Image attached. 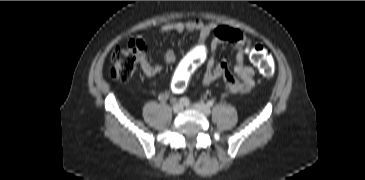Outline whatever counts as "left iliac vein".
<instances>
[{"instance_id":"4c4485c4","label":"left iliac vein","mask_w":365,"mask_h":180,"mask_svg":"<svg viewBox=\"0 0 365 180\" xmlns=\"http://www.w3.org/2000/svg\"><path fill=\"white\" fill-rule=\"evenodd\" d=\"M193 108L206 116H208L211 113L209 106H207L204 103H196L193 105Z\"/></svg>"}]
</instances>
